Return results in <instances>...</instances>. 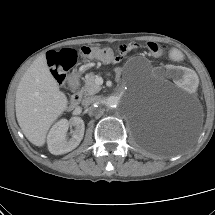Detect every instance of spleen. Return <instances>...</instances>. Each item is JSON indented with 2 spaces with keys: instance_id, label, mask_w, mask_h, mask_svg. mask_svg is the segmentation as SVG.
<instances>
[{
  "instance_id": "obj_1",
  "label": "spleen",
  "mask_w": 215,
  "mask_h": 215,
  "mask_svg": "<svg viewBox=\"0 0 215 215\" xmlns=\"http://www.w3.org/2000/svg\"><path fill=\"white\" fill-rule=\"evenodd\" d=\"M183 56H184V53H183V51L180 50V49L174 50V51L172 52V58H173V59L180 60V59L183 58Z\"/></svg>"
}]
</instances>
